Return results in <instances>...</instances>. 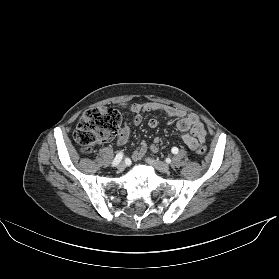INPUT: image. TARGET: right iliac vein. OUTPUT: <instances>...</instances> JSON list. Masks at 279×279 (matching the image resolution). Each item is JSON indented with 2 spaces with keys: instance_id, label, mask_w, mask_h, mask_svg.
<instances>
[{
  "instance_id": "63e3f726",
  "label": "right iliac vein",
  "mask_w": 279,
  "mask_h": 279,
  "mask_svg": "<svg viewBox=\"0 0 279 279\" xmlns=\"http://www.w3.org/2000/svg\"><path fill=\"white\" fill-rule=\"evenodd\" d=\"M125 168H126V165H125L124 162H120V163L117 164V169L119 171H123Z\"/></svg>"
}]
</instances>
